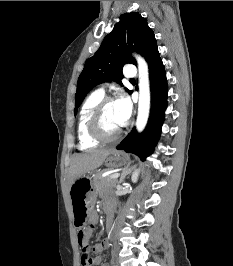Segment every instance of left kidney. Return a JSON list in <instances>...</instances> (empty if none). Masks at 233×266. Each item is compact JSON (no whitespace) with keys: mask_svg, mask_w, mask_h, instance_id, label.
<instances>
[{"mask_svg":"<svg viewBox=\"0 0 233 266\" xmlns=\"http://www.w3.org/2000/svg\"><path fill=\"white\" fill-rule=\"evenodd\" d=\"M138 175H139V170H135V171L133 172V174H132V177H131L132 182L135 183V182L137 181Z\"/></svg>","mask_w":233,"mask_h":266,"instance_id":"obj_1","label":"left kidney"}]
</instances>
